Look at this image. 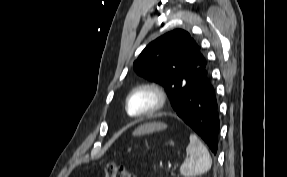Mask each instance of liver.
Segmentation results:
<instances>
[{"instance_id": "obj_1", "label": "liver", "mask_w": 287, "mask_h": 177, "mask_svg": "<svg viewBox=\"0 0 287 177\" xmlns=\"http://www.w3.org/2000/svg\"><path fill=\"white\" fill-rule=\"evenodd\" d=\"M166 128H167V125L163 124V123H148V124H144V125L138 127L133 132V135L138 136V135H142V134H146V133H152L154 131H160V130H163Z\"/></svg>"}]
</instances>
